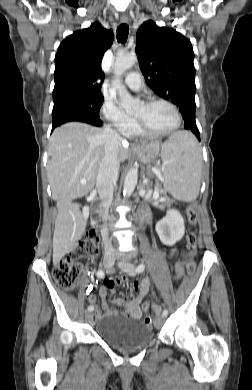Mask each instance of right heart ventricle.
Returning a JSON list of instances; mask_svg holds the SVG:
<instances>
[{"label": "right heart ventricle", "instance_id": "e07e8e85", "mask_svg": "<svg viewBox=\"0 0 252 390\" xmlns=\"http://www.w3.org/2000/svg\"><path fill=\"white\" fill-rule=\"evenodd\" d=\"M132 135H135V136H146L143 133H141L140 131H138V129H136V127H135V130L133 131V133L131 134V136Z\"/></svg>", "mask_w": 252, "mask_h": 390}]
</instances>
